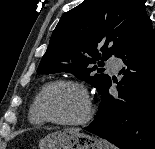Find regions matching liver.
I'll use <instances>...</instances> for the list:
<instances>
[{
	"mask_svg": "<svg viewBox=\"0 0 155 149\" xmlns=\"http://www.w3.org/2000/svg\"><path fill=\"white\" fill-rule=\"evenodd\" d=\"M71 130H72V131H76V132L79 131V129H77V128H71Z\"/></svg>",
	"mask_w": 155,
	"mask_h": 149,
	"instance_id": "1",
	"label": "liver"
}]
</instances>
